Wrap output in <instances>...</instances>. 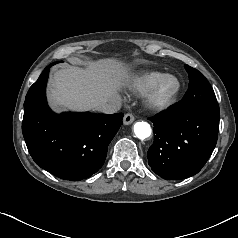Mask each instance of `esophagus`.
I'll return each mask as SVG.
<instances>
[{"instance_id": "34e87169", "label": "esophagus", "mask_w": 238, "mask_h": 238, "mask_svg": "<svg viewBox=\"0 0 238 238\" xmlns=\"http://www.w3.org/2000/svg\"><path fill=\"white\" fill-rule=\"evenodd\" d=\"M134 120H135L134 115H133L132 113H127V114H125V116H124L123 123H124L125 125H129V124H131Z\"/></svg>"}]
</instances>
